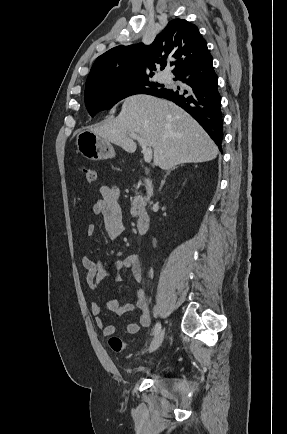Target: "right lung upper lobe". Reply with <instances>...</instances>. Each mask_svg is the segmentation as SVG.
Wrapping results in <instances>:
<instances>
[{"label": "right lung upper lobe", "mask_w": 287, "mask_h": 434, "mask_svg": "<svg viewBox=\"0 0 287 434\" xmlns=\"http://www.w3.org/2000/svg\"><path fill=\"white\" fill-rule=\"evenodd\" d=\"M207 51V44L197 26L183 19H174L149 46L143 43L119 45L99 56L91 68L86 85L148 76L145 73L146 66L149 76H153L155 71L163 70L168 63L175 75Z\"/></svg>", "instance_id": "1"}]
</instances>
